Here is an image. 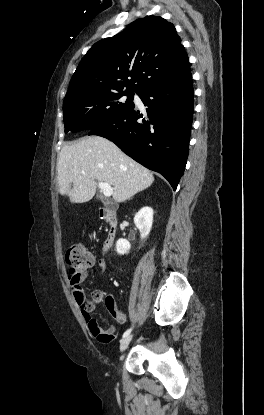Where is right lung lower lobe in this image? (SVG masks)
Segmentation results:
<instances>
[{"label": "right lung lower lobe", "mask_w": 264, "mask_h": 415, "mask_svg": "<svg viewBox=\"0 0 264 415\" xmlns=\"http://www.w3.org/2000/svg\"><path fill=\"white\" fill-rule=\"evenodd\" d=\"M138 95L147 106L145 117L133 107L89 135L111 140L128 156L162 174L176 190L189 152L194 107L191 72Z\"/></svg>", "instance_id": "right-lung-lower-lobe-1"}]
</instances>
